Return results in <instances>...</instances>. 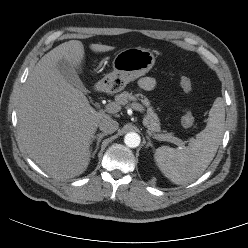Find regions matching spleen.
Masks as SVG:
<instances>
[{
    "mask_svg": "<svg viewBox=\"0 0 248 248\" xmlns=\"http://www.w3.org/2000/svg\"><path fill=\"white\" fill-rule=\"evenodd\" d=\"M225 122V108L217 98L209 111L204 130L182 150L169 146L156 149L154 159L161 172L171 182L184 185L199 178L209 166L220 145Z\"/></svg>",
    "mask_w": 248,
    "mask_h": 248,
    "instance_id": "obj_1",
    "label": "spleen"
}]
</instances>
